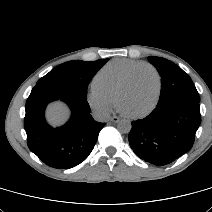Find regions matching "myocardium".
<instances>
[{
	"label": "myocardium",
	"mask_w": 212,
	"mask_h": 212,
	"mask_svg": "<svg viewBox=\"0 0 212 212\" xmlns=\"http://www.w3.org/2000/svg\"><path fill=\"white\" fill-rule=\"evenodd\" d=\"M143 68H148L150 70L153 71V73L156 76V80H157V91H156V96L155 99L153 101V103L150 105V107L148 109H146L145 111L141 112V113H136V114H130V113H125L124 114L130 118H134V119H139V118H143L147 115H149L157 106L159 100H160V96H161V92H162V77L160 72L158 71V69L153 66L150 63H142L136 67H134L129 74L127 75L126 79L124 80V82L122 83L118 93H117V106L120 108L121 107V99L124 95V93L127 91V89L129 88L134 75Z\"/></svg>",
	"instance_id": "myocardium-1"
}]
</instances>
